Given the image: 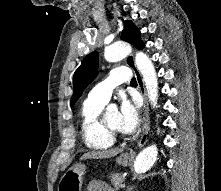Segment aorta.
<instances>
[{
  "mask_svg": "<svg viewBox=\"0 0 221 191\" xmlns=\"http://www.w3.org/2000/svg\"><path fill=\"white\" fill-rule=\"evenodd\" d=\"M131 52V47L125 42H115L109 45L104 52L108 62H116L124 59ZM135 64L143 76L146 91L153 107L157 106L158 80L154 65L150 58L143 52L135 55ZM158 155V148L155 144L144 148L136 157L134 162L135 171L139 174L148 171L155 163Z\"/></svg>",
  "mask_w": 221,
  "mask_h": 191,
  "instance_id": "obj_1",
  "label": "aorta"
}]
</instances>
